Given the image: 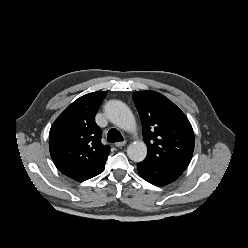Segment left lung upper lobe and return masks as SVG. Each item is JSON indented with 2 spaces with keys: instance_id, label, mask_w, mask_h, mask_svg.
Masks as SVG:
<instances>
[{
  "instance_id": "obj_1",
  "label": "left lung upper lobe",
  "mask_w": 248,
  "mask_h": 248,
  "mask_svg": "<svg viewBox=\"0 0 248 248\" xmlns=\"http://www.w3.org/2000/svg\"><path fill=\"white\" fill-rule=\"evenodd\" d=\"M147 145L146 160L185 171L194 151V132L185 114L155 91L134 92Z\"/></svg>"
}]
</instances>
